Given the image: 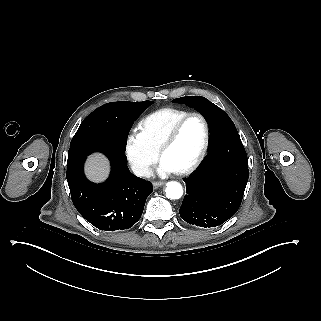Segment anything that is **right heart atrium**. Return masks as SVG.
<instances>
[{
    "label": "right heart atrium",
    "mask_w": 321,
    "mask_h": 321,
    "mask_svg": "<svg viewBox=\"0 0 321 321\" xmlns=\"http://www.w3.org/2000/svg\"><path fill=\"white\" fill-rule=\"evenodd\" d=\"M125 156L134 174L146 178L151 174L152 167L158 158V151L141 131L133 129L126 137Z\"/></svg>",
    "instance_id": "right-heart-atrium-1"
}]
</instances>
